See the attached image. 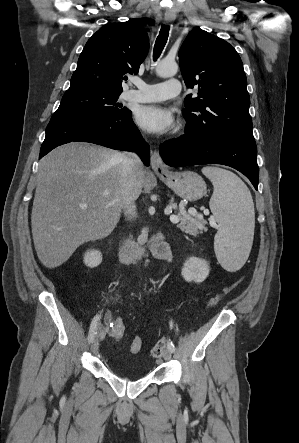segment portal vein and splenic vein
<instances>
[{
	"label": "portal vein and splenic vein",
	"instance_id": "18ae733b",
	"mask_svg": "<svg viewBox=\"0 0 299 443\" xmlns=\"http://www.w3.org/2000/svg\"><path fill=\"white\" fill-rule=\"evenodd\" d=\"M80 207L82 209H84V208H87V205L86 204H82V205H80ZM171 212H172V209L170 207L165 210V214H170ZM191 214H195V211L191 212ZM170 221L172 223L176 224V223L179 222V218L176 215H171L170 216Z\"/></svg>",
	"mask_w": 299,
	"mask_h": 443
}]
</instances>
